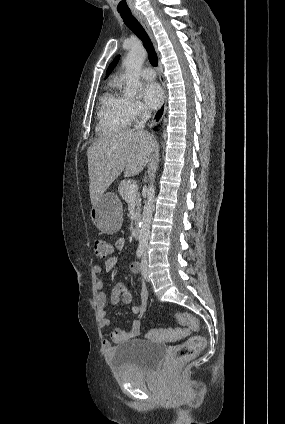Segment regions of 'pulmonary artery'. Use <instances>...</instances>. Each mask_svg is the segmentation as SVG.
<instances>
[{
	"mask_svg": "<svg viewBox=\"0 0 285 424\" xmlns=\"http://www.w3.org/2000/svg\"><path fill=\"white\" fill-rule=\"evenodd\" d=\"M141 76L145 80H153L156 77V73L152 68L146 67L141 70Z\"/></svg>",
	"mask_w": 285,
	"mask_h": 424,
	"instance_id": "pulmonary-artery-1",
	"label": "pulmonary artery"
}]
</instances>
